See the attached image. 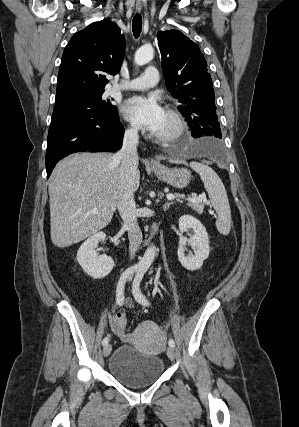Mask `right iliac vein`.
I'll use <instances>...</instances> for the list:
<instances>
[{"label":"right iliac vein","instance_id":"right-iliac-vein-1","mask_svg":"<svg viewBox=\"0 0 299 427\" xmlns=\"http://www.w3.org/2000/svg\"><path fill=\"white\" fill-rule=\"evenodd\" d=\"M111 351H112V346H111V344H107V345H105V346H104V348H103V355H104L105 357H108V356L110 355Z\"/></svg>","mask_w":299,"mask_h":427}]
</instances>
